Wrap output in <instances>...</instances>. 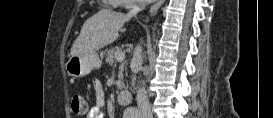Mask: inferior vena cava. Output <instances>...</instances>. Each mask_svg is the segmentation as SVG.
<instances>
[{
	"label": "inferior vena cava",
	"mask_w": 273,
	"mask_h": 118,
	"mask_svg": "<svg viewBox=\"0 0 273 118\" xmlns=\"http://www.w3.org/2000/svg\"><path fill=\"white\" fill-rule=\"evenodd\" d=\"M140 8H142V5H140L139 8H134V9L130 10L128 15L129 16L136 15L140 11ZM141 52H142L141 47L137 46L134 50V54H133V58H132L133 64L141 66V64H142ZM136 100H137V105H138V108H139L142 118H152V112H151L149 100L147 97V92L145 91V89L140 88L138 90Z\"/></svg>",
	"instance_id": "602c4592"
}]
</instances>
